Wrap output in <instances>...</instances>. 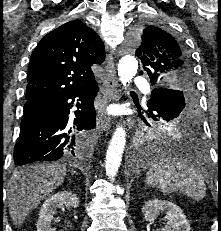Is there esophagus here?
I'll return each mask as SVG.
<instances>
[{"label": "esophagus", "instance_id": "1", "mask_svg": "<svg viewBox=\"0 0 221 231\" xmlns=\"http://www.w3.org/2000/svg\"><path fill=\"white\" fill-rule=\"evenodd\" d=\"M103 85V103L98 114V123L103 130H107L110 127V117L106 114V106L108 103L118 98V81L112 54L107 56Z\"/></svg>", "mask_w": 221, "mask_h": 231}]
</instances>
